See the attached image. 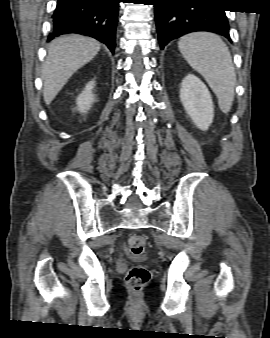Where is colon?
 I'll return each mask as SVG.
<instances>
[{"mask_svg": "<svg viewBox=\"0 0 270 338\" xmlns=\"http://www.w3.org/2000/svg\"><path fill=\"white\" fill-rule=\"evenodd\" d=\"M128 247L132 257L138 260L145 252L146 239L143 235H132L128 239ZM150 280L149 270L140 265L135 264L130 267L126 274V284L133 291L142 290Z\"/></svg>", "mask_w": 270, "mask_h": 338, "instance_id": "5ec220e1", "label": "colon"}]
</instances>
